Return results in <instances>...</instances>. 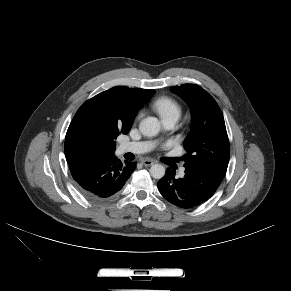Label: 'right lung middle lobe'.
Here are the masks:
<instances>
[{
    "mask_svg": "<svg viewBox=\"0 0 291 291\" xmlns=\"http://www.w3.org/2000/svg\"><path fill=\"white\" fill-rule=\"evenodd\" d=\"M81 136L94 154L114 153L118 134L96 125H88L81 130Z\"/></svg>",
    "mask_w": 291,
    "mask_h": 291,
    "instance_id": "obj_1",
    "label": "right lung middle lobe"
}]
</instances>
